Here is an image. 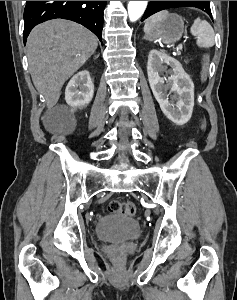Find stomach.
<instances>
[{"label":"stomach","instance_id":"0dacf381","mask_svg":"<svg viewBox=\"0 0 237 300\" xmlns=\"http://www.w3.org/2000/svg\"><path fill=\"white\" fill-rule=\"evenodd\" d=\"M185 31L183 17L170 13L164 21L157 23L150 33H146L144 39L146 41H159L162 43H175L181 39Z\"/></svg>","mask_w":237,"mask_h":300}]
</instances>
